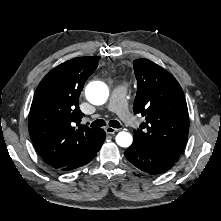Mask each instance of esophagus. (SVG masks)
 I'll return each instance as SVG.
<instances>
[{
  "instance_id": "1",
  "label": "esophagus",
  "mask_w": 221,
  "mask_h": 221,
  "mask_svg": "<svg viewBox=\"0 0 221 221\" xmlns=\"http://www.w3.org/2000/svg\"><path fill=\"white\" fill-rule=\"evenodd\" d=\"M117 131H119V129L113 128V127H106L105 128V132L107 134H115Z\"/></svg>"
}]
</instances>
